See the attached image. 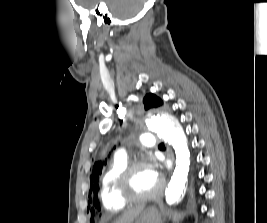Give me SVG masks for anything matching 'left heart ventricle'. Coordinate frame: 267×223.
I'll use <instances>...</instances> for the list:
<instances>
[{
    "label": "left heart ventricle",
    "instance_id": "1",
    "mask_svg": "<svg viewBox=\"0 0 267 223\" xmlns=\"http://www.w3.org/2000/svg\"><path fill=\"white\" fill-rule=\"evenodd\" d=\"M158 185L159 180L154 176L152 169L140 167L130 179L129 190L135 195H145L156 190Z\"/></svg>",
    "mask_w": 267,
    "mask_h": 223
}]
</instances>
